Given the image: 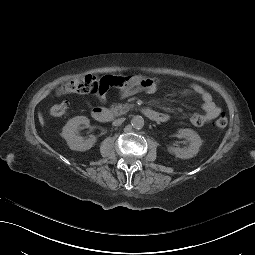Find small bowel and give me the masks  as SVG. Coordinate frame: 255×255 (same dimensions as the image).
<instances>
[{
  "label": "small bowel",
  "instance_id": "1",
  "mask_svg": "<svg viewBox=\"0 0 255 255\" xmlns=\"http://www.w3.org/2000/svg\"><path fill=\"white\" fill-rule=\"evenodd\" d=\"M160 84L161 81L157 78L134 76L130 85L121 91L120 97L127 98L139 92L154 94ZM182 95H196L202 101L204 112L195 113L189 118L190 122L195 126H203L214 120L221 113V108L213 101L211 94L198 84H191L189 89L182 92ZM97 97L101 102H105V91H98Z\"/></svg>",
  "mask_w": 255,
  "mask_h": 255
}]
</instances>
